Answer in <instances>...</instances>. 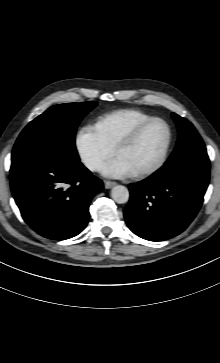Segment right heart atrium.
Here are the masks:
<instances>
[{
  "mask_svg": "<svg viewBox=\"0 0 220 363\" xmlns=\"http://www.w3.org/2000/svg\"><path fill=\"white\" fill-rule=\"evenodd\" d=\"M75 148L80 161L90 171L98 170L113 154V148L104 141L94 126H83L77 131Z\"/></svg>",
  "mask_w": 220,
  "mask_h": 363,
  "instance_id": "1",
  "label": "right heart atrium"
}]
</instances>
